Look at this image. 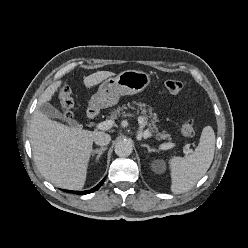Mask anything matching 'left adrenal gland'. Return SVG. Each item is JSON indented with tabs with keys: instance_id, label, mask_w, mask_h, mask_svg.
Returning <instances> with one entry per match:
<instances>
[{
	"instance_id": "1",
	"label": "left adrenal gland",
	"mask_w": 248,
	"mask_h": 248,
	"mask_svg": "<svg viewBox=\"0 0 248 248\" xmlns=\"http://www.w3.org/2000/svg\"><path fill=\"white\" fill-rule=\"evenodd\" d=\"M142 146H143V147H146L147 150H148V152H150V153H151V152H156V151H157V150L154 149V148L151 149L150 146H149L148 144H142Z\"/></svg>"
}]
</instances>
